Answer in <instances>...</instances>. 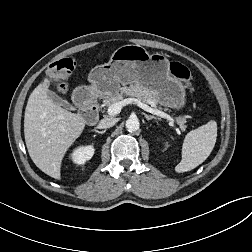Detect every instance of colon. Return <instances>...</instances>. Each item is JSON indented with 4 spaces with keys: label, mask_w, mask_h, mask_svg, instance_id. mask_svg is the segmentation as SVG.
I'll use <instances>...</instances> for the list:
<instances>
[{
    "label": "colon",
    "mask_w": 252,
    "mask_h": 252,
    "mask_svg": "<svg viewBox=\"0 0 252 252\" xmlns=\"http://www.w3.org/2000/svg\"><path fill=\"white\" fill-rule=\"evenodd\" d=\"M75 67V61L72 58H65L52 64L47 71L49 81L55 82L59 90L65 89L62 84V79L67 72H70ZM171 74L181 80L187 89L191 90V74L186 66L179 62H172L170 65Z\"/></svg>",
    "instance_id": "obj_1"
}]
</instances>
